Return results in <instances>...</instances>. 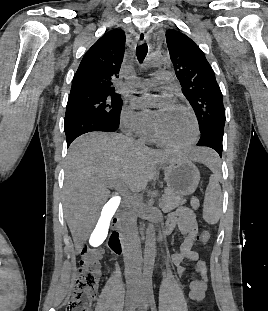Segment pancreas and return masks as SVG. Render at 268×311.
I'll list each match as a JSON object with an SVG mask.
<instances>
[{
  "instance_id": "cf45deb5",
  "label": "pancreas",
  "mask_w": 268,
  "mask_h": 311,
  "mask_svg": "<svg viewBox=\"0 0 268 311\" xmlns=\"http://www.w3.org/2000/svg\"><path fill=\"white\" fill-rule=\"evenodd\" d=\"M186 200L179 194L166 189L160 202V208L164 213H168L173 209L185 204Z\"/></svg>"
}]
</instances>
